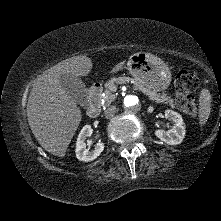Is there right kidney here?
<instances>
[{
	"label": "right kidney",
	"instance_id": "1",
	"mask_svg": "<svg viewBox=\"0 0 221 221\" xmlns=\"http://www.w3.org/2000/svg\"><path fill=\"white\" fill-rule=\"evenodd\" d=\"M92 128L90 125H85L80 131L77 141H76V157L80 161H92L96 159L101 152L104 150V143L99 141L96 143L93 150H89L86 148V138L91 136Z\"/></svg>",
	"mask_w": 221,
	"mask_h": 221
}]
</instances>
